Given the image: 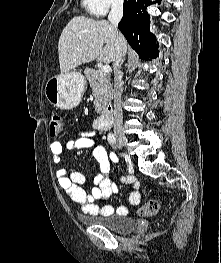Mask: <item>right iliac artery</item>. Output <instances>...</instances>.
I'll return each instance as SVG.
<instances>
[{
  "mask_svg": "<svg viewBox=\"0 0 221 263\" xmlns=\"http://www.w3.org/2000/svg\"><path fill=\"white\" fill-rule=\"evenodd\" d=\"M108 141L113 147H115L116 139H115V136L112 133H110L108 135Z\"/></svg>",
  "mask_w": 221,
  "mask_h": 263,
  "instance_id": "82829eb1",
  "label": "right iliac artery"
}]
</instances>
